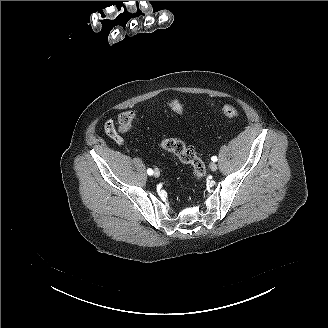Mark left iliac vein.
Returning a JSON list of instances; mask_svg holds the SVG:
<instances>
[{"label":"left iliac vein","instance_id":"obj_1","mask_svg":"<svg viewBox=\"0 0 328 328\" xmlns=\"http://www.w3.org/2000/svg\"><path fill=\"white\" fill-rule=\"evenodd\" d=\"M210 169H211L212 171H216V170H217V165H216L214 162H212V163L210 164Z\"/></svg>","mask_w":328,"mask_h":328}]
</instances>
